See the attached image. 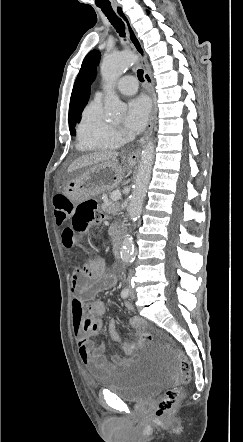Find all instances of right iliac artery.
<instances>
[{
    "label": "right iliac artery",
    "mask_w": 243,
    "mask_h": 442,
    "mask_svg": "<svg viewBox=\"0 0 243 442\" xmlns=\"http://www.w3.org/2000/svg\"><path fill=\"white\" fill-rule=\"evenodd\" d=\"M129 296V289L126 287L121 291V297L126 299Z\"/></svg>",
    "instance_id": "obj_1"
}]
</instances>
